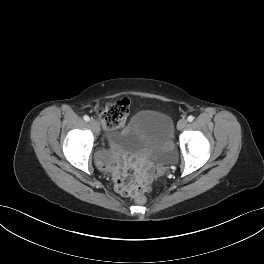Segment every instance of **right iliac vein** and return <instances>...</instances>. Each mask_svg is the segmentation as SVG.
Listing matches in <instances>:
<instances>
[{
	"mask_svg": "<svg viewBox=\"0 0 264 264\" xmlns=\"http://www.w3.org/2000/svg\"><path fill=\"white\" fill-rule=\"evenodd\" d=\"M90 125H91V127L94 129V131L96 133H99L100 127H99V124H98V122L96 120H93V119L90 120Z\"/></svg>",
	"mask_w": 264,
	"mask_h": 264,
	"instance_id": "right-iliac-vein-1",
	"label": "right iliac vein"
}]
</instances>
